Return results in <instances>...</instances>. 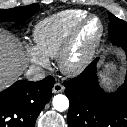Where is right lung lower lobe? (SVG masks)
<instances>
[{
    "label": "right lung lower lobe",
    "mask_w": 127,
    "mask_h": 127,
    "mask_svg": "<svg viewBox=\"0 0 127 127\" xmlns=\"http://www.w3.org/2000/svg\"><path fill=\"white\" fill-rule=\"evenodd\" d=\"M52 76L38 82L17 81L0 93V127H34L51 98Z\"/></svg>",
    "instance_id": "1"
}]
</instances>
